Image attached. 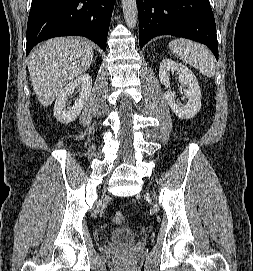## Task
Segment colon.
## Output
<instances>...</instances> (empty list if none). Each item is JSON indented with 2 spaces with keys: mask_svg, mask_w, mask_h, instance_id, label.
I'll return each mask as SVG.
<instances>
[{
  "mask_svg": "<svg viewBox=\"0 0 253 271\" xmlns=\"http://www.w3.org/2000/svg\"><path fill=\"white\" fill-rule=\"evenodd\" d=\"M126 220V216L123 212L121 211H118L114 214L113 216V221L114 223L116 224H123Z\"/></svg>",
  "mask_w": 253,
  "mask_h": 271,
  "instance_id": "5ec220e1",
  "label": "colon"
}]
</instances>
